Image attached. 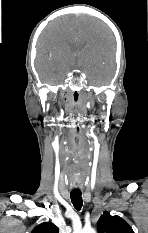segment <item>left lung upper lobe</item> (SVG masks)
<instances>
[{"instance_id":"1","label":"left lung upper lobe","mask_w":148,"mask_h":233,"mask_svg":"<svg viewBox=\"0 0 148 233\" xmlns=\"http://www.w3.org/2000/svg\"><path fill=\"white\" fill-rule=\"evenodd\" d=\"M98 233H134L131 226L119 216L104 212L97 222Z\"/></svg>"}]
</instances>
